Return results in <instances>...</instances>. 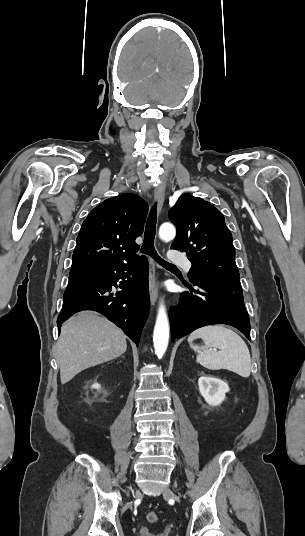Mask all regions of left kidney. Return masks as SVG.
Instances as JSON below:
<instances>
[{"mask_svg":"<svg viewBox=\"0 0 305 536\" xmlns=\"http://www.w3.org/2000/svg\"><path fill=\"white\" fill-rule=\"evenodd\" d=\"M199 392L209 406H219L225 400L226 392H229L228 384L214 378V376H201L198 380Z\"/></svg>","mask_w":305,"mask_h":536,"instance_id":"1","label":"left kidney"}]
</instances>
